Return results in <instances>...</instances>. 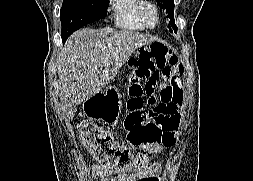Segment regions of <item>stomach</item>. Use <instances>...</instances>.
<instances>
[{
	"mask_svg": "<svg viewBox=\"0 0 253 181\" xmlns=\"http://www.w3.org/2000/svg\"><path fill=\"white\" fill-rule=\"evenodd\" d=\"M83 113L90 119L103 120L107 123L117 122L121 113V102L116 90L110 87L91 96L83 103Z\"/></svg>",
	"mask_w": 253,
	"mask_h": 181,
	"instance_id": "obj_1",
	"label": "stomach"
}]
</instances>
